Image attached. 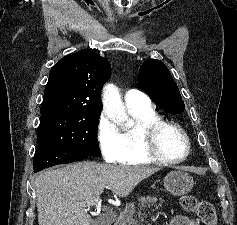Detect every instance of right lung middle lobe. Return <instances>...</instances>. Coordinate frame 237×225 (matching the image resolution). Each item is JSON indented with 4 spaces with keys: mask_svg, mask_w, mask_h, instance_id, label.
<instances>
[{
    "mask_svg": "<svg viewBox=\"0 0 237 225\" xmlns=\"http://www.w3.org/2000/svg\"><path fill=\"white\" fill-rule=\"evenodd\" d=\"M100 114L61 115L40 121L38 147L69 149L90 156H100L97 129Z\"/></svg>",
    "mask_w": 237,
    "mask_h": 225,
    "instance_id": "right-lung-middle-lobe-1",
    "label": "right lung middle lobe"
}]
</instances>
